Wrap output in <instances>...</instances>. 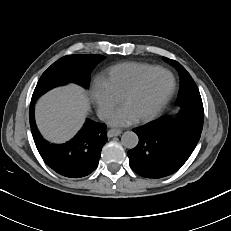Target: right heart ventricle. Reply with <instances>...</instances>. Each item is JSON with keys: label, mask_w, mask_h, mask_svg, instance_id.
<instances>
[{"label": "right heart ventricle", "mask_w": 231, "mask_h": 231, "mask_svg": "<svg viewBox=\"0 0 231 231\" xmlns=\"http://www.w3.org/2000/svg\"><path fill=\"white\" fill-rule=\"evenodd\" d=\"M157 68L159 67L146 63L126 62L109 68L101 79L112 93L121 99L140 78Z\"/></svg>", "instance_id": "right-heart-ventricle-1"}]
</instances>
